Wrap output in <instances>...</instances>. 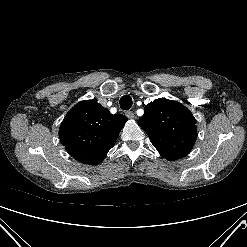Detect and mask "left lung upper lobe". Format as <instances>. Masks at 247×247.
I'll return each instance as SVG.
<instances>
[{
	"mask_svg": "<svg viewBox=\"0 0 247 247\" xmlns=\"http://www.w3.org/2000/svg\"><path fill=\"white\" fill-rule=\"evenodd\" d=\"M196 120L181 103L168 99H156L144 108L138 121L151 143L167 160L186 156L197 138Z\"/></svg>",
	"mask_w": 247,
	"mask_h": 247,
	"instance_id": "left-lung-upper-lobe-1",
	"label": "left lung upper lobe"
}]
</instances>
